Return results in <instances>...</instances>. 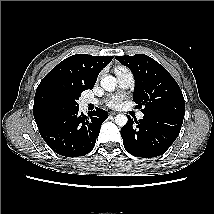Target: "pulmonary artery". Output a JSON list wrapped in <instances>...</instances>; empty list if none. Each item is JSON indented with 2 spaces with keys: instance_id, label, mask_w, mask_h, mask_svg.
Returning <instances> with one entry per match:
<instances>
[{
  "instance_id": "1",
  "label": "pulmonary artery",
  "mask_w": 214,
  "mask_h": 214,
  "mask_svg": "<svg viewBox=\"0 0 214 214\" xmlns=\"http://www.w3.org/2000/svg\"><path fill=\"white\" fill-rule=\"evenodd\" d=\"M114 73L116 75L117 78V82L119 87L125 89L128 88L129 86H131V84L133 83V74L131 73V71L125 67H117L114 70ZM85 104H97L98 101L95 99H86L84 101ZM144 117L143 112H139L137 114V118L138 119H142Z\"/></svg>"
}]
</instances>
